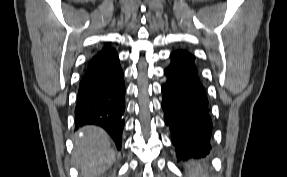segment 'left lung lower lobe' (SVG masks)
Listing matches in <instances>:
<instances>
[{"label":"left lung lower lobe","instance_id":"left-lung-lower-lobe-1","mask_svg":"<svg viewBox=\"0 0 287 177\" xmlns=\"http://www.w3.org/2000/svg\"><path fill=\"white\" fill-rule=\"evenodd\" d=\"M171 64L162 85L165 123L171 131L177 157L186 160L209 153L212 130L209 106L195 57L185 50L171 53Z\"/></svg>","mask_w":287,"mask_h":177}]
</instances>
